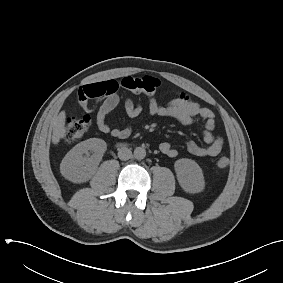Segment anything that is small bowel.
<instances>
[{"label": "small bowel", "mask_w": 283, "mask_h": 283, "mask_svg": "<svg viewBox=\"0 0 283 283\" xmlns=\"http://www.w3.org/2000/svg\"><path fill=\"white\" fill-rule=\"evenodd\" d=\"M103 99L96 113L98 129L105 134H110L117 139H126L132 134V126L124 128L111 127L107 116L119 104L118 81L109 80L104 82L89 83L80 88L78 101L83 110L91 112L94 105L91 100ZM126 115L135 119L142 115L144 108L140 103L131 98L124 101ZM147 114L149 116L170 117L182 124L189 125L197 119L204 121L202 138L204 144L190 140L186 143V150L196 157H215L223 148V139L214 134L215 114L214 112L198 102L193 101L187 93L179 91L176 97L168 104H161L156 98H151L148 103ZM160 151L168 157H176L178 150L168 142L159 145Z\"/></svg>", "instance_id": "obj_1"}]
</instances>
